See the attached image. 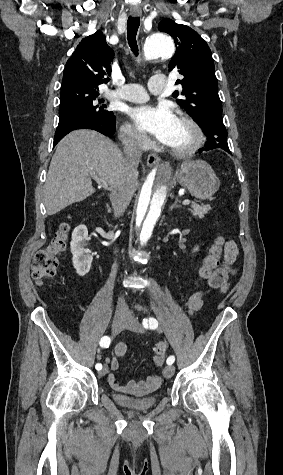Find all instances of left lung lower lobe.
Returning a JSON list of instances; mask_svg holds the SVG:
<instances>
[{
    "instance_id": "obj_1",
    "label": "left lung lower lobe",
    "mask_w": 283,
    "mask_h": 475,
    "mask_svg": "<svg viewBox=\"0 0 283 475\" xmlns=\"http://www.w3.org/2000/svg\"><path fill=\"white\" fill-rule=\"evenodd\" d=\"M200 127L207 136L208 142L205 148L199 150V152L221 149L231 153L227 143V130L223 124L222 114H213L205 118Z\"/></svg>"
}]
</instances>
